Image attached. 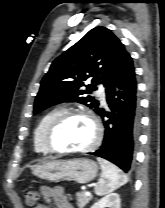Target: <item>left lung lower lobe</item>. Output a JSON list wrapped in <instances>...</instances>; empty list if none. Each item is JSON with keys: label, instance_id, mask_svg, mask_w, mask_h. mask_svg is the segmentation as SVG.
I'll list each match as a JSON object with an SVG mask.
<instances>
[{"label": "left lung lower lobe", "instance_id": "left-lung-lower-lobe-1", "mask_svg": "<svg viewBox=\"0 0 165 208\" xmlns=\"http://www.w3.org/2000/svg\"><path fill=\"white\" fill-rule=\"evenodd\" d=\"M109 112L99 109L105 135L102 146L91 153L102 157L128 173L132 170L134 151L140 128V107L135 69L130 55L126 57L106 88Z\"/></svg>", "mask_w": 165, "mask_h": 208}]
</instances>
